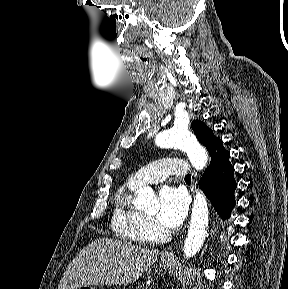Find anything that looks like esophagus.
I'll use <instances>...</instances> for the list:
<instances>
[{"label":"esophagus","instance_id":"34e87169","mask_svg":"<svg viewBox=\"0 0 288 289\" xmlns=\"http://www.w3.org/2000/svg\"><path fill=\"white\" fill-rule=\"evenodd\" d=\"M173 257H174L173 251L169 250L163 254L162 259L163 260H171V259H173Z\"/></svg>","mask_w":288,"mask_h":289}]
</instances>
